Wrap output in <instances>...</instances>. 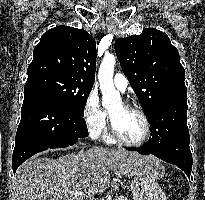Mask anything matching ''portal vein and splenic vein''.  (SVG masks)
Masks as SVG:
<instances>
[{"mask_svg":"<svg viewBox=\"0 0 205 200\" xmlns=\"http://www.w3.org/2000/svg\"><path fill=\"white\" fill-rule=\"evenodd\" d=\"M69 194H70V196H73V195H79L80 193H73V192H70ZM100 200H101V199H100Z\"/></svg>","mask_w":205,"mask_h":200,"instance_id":"obj_1","label":"portal vein and splenic vein"}]
</instances>
